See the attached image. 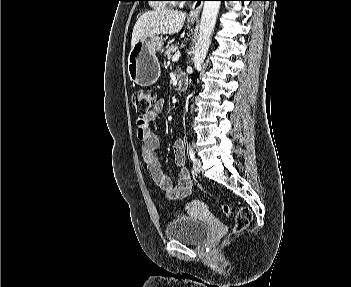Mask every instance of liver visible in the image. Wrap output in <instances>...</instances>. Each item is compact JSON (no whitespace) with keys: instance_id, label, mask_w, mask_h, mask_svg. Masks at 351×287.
Masks as SVG:
<instances>
[{"instance_id":"1","label":"liver","mask_w":351,"mask_h":287,"mask_svg":"<svg viewBox=\"0 0 351 287\" xmlns=\"http://www.w3.org/2000/svg\"><path fill=\"white\" fill-rule=\"evenodd\" d=\"M186 14L174 10H154L142 14L136 21L133 32L131 47L146 36L172 35L178 33L185 22Z\"/></svg>"}]
</instances>
